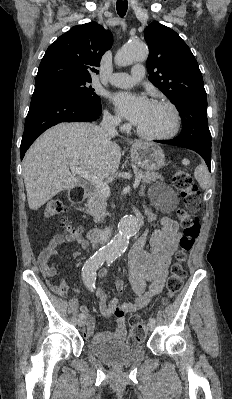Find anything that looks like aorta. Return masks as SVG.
Returning <instances> with one entry per match:
<instances>
[{"mask_svg":"<svg viewBox=\"0 0 232 399\" xmlns=\"http://www.w3.org/2000/svg\"><path fill=\"white\" fill-rule=\"evenodd\" d=\"M147 46L139 41L124 45L115 57L118 66H127L147 58ZM138 218L133 215L124 216L118 224V234L101 251L105 256L118 257L127 249L129 238L138 231Z\"/></svg>","mask_w":232,"mask_h":399,"instance_id":"obj_1","label":"aorta"}]
</instances>
